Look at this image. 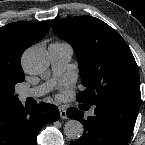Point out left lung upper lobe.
<instances>
[{"label": "left lung upper lobe", "mask_w": 145, "mask_h": 145, "mask_svg": "<svg viewBox=\"0 0 145 145\" xmlns=\"http://www.w3.org/2000/svg\"><path fill=\"white\" fill-rule=\"evenodd\" d=\"M55 34L75 50L85 90L76 100L89 105L120 99H140V79L134 56L122 36L105 22L88 16L52 20Z\"/></svg>", "instance_id": "5c2ea615"}]
</instances>
